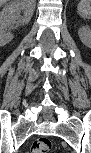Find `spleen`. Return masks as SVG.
<instances>
[{
	"instance_id": "1",
	"label": "spleen",
	"mask_w": 91,
	"mask_h": 153,
	"mask_svg": "<svg viewBox=\"0 0 91 153\" xmlns=\"http://www.w3.org/2000/svg\"><path fill=\"white\" fill-rule=\"evenodd\" d=\"M78 14L83 18H89L91 6L89 0H81L77 7Z\"/></svg>"
}]
</instances>
